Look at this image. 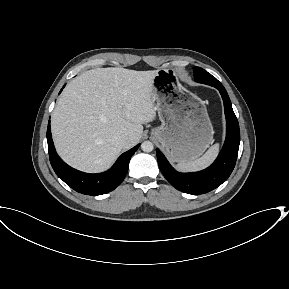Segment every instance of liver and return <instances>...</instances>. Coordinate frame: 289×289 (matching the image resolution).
Returning a JSON list of instances; mask_svg holds the SVG:
<instances>
[{"label":"liver","mask_w":289,"mask_h":289,"mask_svg":"<svg viewBox=\"0 0 289 289\" xmlns=\"http://www.w3.org/2000/svg\"><path fill=\"white\" fill-rule=\"evenodd\" d=\"M158 70L97 68L73 79L52 114L56 150L86 172L110 167L123 149L141 139L143 125L156 116L152 82ZM127 137L124 145L118 138Z\"/></svg>","instance_id":"liver-1"}]
</instances>
